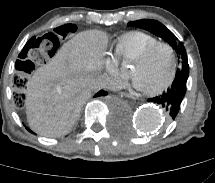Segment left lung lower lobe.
I'll use <instances>...</instances> for the list:
<instances>
[{
	"mask_svg": "<svg viewBox=\"0 0 215 183\" xmlns=\"http://www.w3.org/2000/svg\"><path fill=\"white\" fill-rule=\"evenodd\" d=\"M187 79L188 75H177L171 87L161 95L148 99L149 102L159 104L166 110L168 121L175 119L179 112L181 102L186 92Z\"/></svg>",
	"mask_w": 215,
	"mask_h": 183,
	"instance_id": "0a47b994",
	"label": "left lung lower lobe"
}]
</instances>
